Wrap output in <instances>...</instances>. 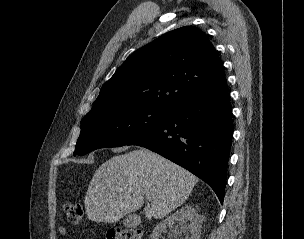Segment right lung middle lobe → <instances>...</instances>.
<instances>
[{"mask_svg": "<svg viewBox=\"0 0 304 239\" xmlns=\"http://www.w3.org/2000/svg\"><path fill=\"white\" fill-rule=\"evenodd\" d=\"M169 111L146 107L107 110L82 119L74 154L119 147L130 143L163 123Z\"/></svg>", "mask_w": 304, "mask_h": 239, "instance_id": "obj_1", "label": "right lung middle lobe"}]
</instances>
